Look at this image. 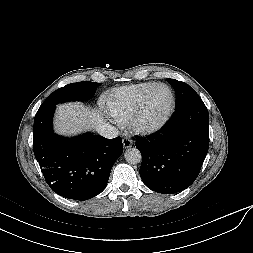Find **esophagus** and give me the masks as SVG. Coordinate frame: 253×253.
<instances>
[{"label":"esophagus","instance_id":"esophagus-1","mask_svg":"<svg viewBox=\"0 0 253 253\" xmlns=\"http://www.w3.org/2000/svg\"><path fill=\"white\" fill-rule=\"evenodd\" d=\"M122 142H123V147H124L125 149L132 147L133 142H132L131 139H129V138H124Z\"/></svg>","mask_w":253,"mask_h":253}]
</instances>
